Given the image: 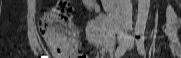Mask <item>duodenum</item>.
Instances as JSON below:
<instances>
[{
    "label": "duodenum",
    "mask_w": 181,
    "mask_h": 58,
    "mask_svg": "<svg viewBox=\"0 0 181 58\" xmlns=\"http://www.w3.org/2000/svg\"><path fill=\"white\" fill-rule=\"evenodd\" d=\"M102 3L106 9L119 13L124 9L127 0H103Z\"/></svg>",
    "instance_id": "obj_1"
}]
</instances>
